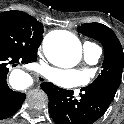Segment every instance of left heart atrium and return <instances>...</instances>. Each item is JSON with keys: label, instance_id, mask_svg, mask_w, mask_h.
<instances>
[{"label": "left heart atrium", "instance_id": "left-heart-atrium-1", "mask_svg": "<svg viewBox=\"0 0 124 124\" xmlns=\"http://www.w3.org/2000/svg\"><path fill=\"white\" fill-rule=\"evenodd\" d=\"M45 75L51 82L62 88H73L88 82L87 74L75 69L47 68Z\"/></svg>", "mask_w": 124, "mask_h": 124}]
</instances>
